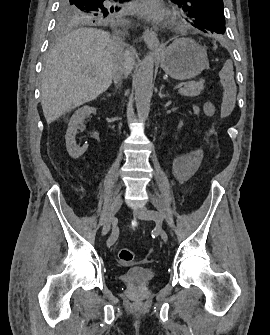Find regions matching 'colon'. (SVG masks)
Returning a JSON list of instances; mask_svg holds the SVG:
<instances>
[{"mask_svg":"<svg viewBox=\"0 0 270 335\" xmlns=\"http://www.w3.org/2000/svg\"><path fill=\"white\" fill-rule=\"evenodd\" d=\"M232 69H234V62H223V72L220 73L223 88L219 102V109H222L220 114L221 119H228L229 116H233V109H236V102L233 97L235 83ZM218 162H223V157H218ZM117 257L120 263L129 264L134 259V252L131 249L121 247L117 250Z\"/></svg>","mask_w":270,"mask_h":335,"instance_id":"5ec220e1","label":"colon"}]
</instances>
